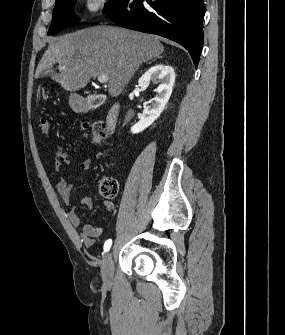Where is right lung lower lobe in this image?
<instances>
[{"mask_svg":"<svg viewBox=\"0 0 285 335\" xmlns=\"http://www.w3.org/2000/svg\"><path fill=\"white\" fill-rule=\"evenodd\" d=\"M203 0H119L106 16L121 27L171 39L197 67L203 47Z\"/></svg>","mask_w":285,"mask_h":335,"instance_id":"right-lung-lower-lobe-1","label":"right lung lower lobe"}]
</instances>
